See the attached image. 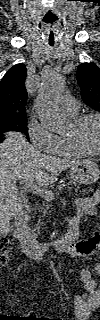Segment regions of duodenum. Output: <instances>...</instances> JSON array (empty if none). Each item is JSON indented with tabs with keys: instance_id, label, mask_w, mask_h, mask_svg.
Returning a JSON list of instances; mask_svg holds the SVG:
<instances>
[{
	"instance_id": "obj_1",
	"label": "duodenum",
	"mask_w": 100,
	"mask_h": 320,
	"mask_svg": "<svg viewBox=\"0 0 100 320\" xmlns=\"http://www.w3.org/2000/svg\"><path fill=\"white\" fill-rule=\"evenodd\" d=\"M79 216L69 220L66 234L55 242H40L28 229V216L23 214L16 219L14 236L19 241L22 251L30 258H45L54 250L69 248L78 234Z\"/></svg>"
}]
</instances>
